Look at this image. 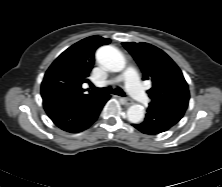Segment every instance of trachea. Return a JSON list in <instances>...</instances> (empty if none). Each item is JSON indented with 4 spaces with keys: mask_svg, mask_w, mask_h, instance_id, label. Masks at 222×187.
Segmentation results:
<instances>
[{
    "mask_svg": "<svg viewBox=\"0 0 222 187\" xmlns=\"http://www.w3.org/2000/svg\"><path fill=\"white\" fill-rule=\"evenodd\" d=\"M91 88L96 91L97 93H102V94H110L114 93L119 96H125V93L123 92L122 89L120 88H115L114 90L111 87H105V88H96L94 86H91Z\"/></svg>",
    "mask_w": 222,
    "mask_h": 187,
    "instance_id": "3493384b",
    "label": "trachea"
}]
</instances>
